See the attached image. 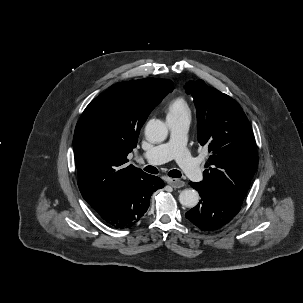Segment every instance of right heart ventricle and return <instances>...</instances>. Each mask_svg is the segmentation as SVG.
Segmentation results:
<instances>
[{
	"mask_svg": "<svg viewBox=\"0 0 303 303\" xmlns=\"http://www.w3.org/2000/svg\"><path fill=\"white\" fill-rule=\"evenodd\" d=\"M167 120L190 117L191 111L183 97L173 98L166 107Z\"/></svg>",
	"mask_w": 303,
	"mask_h": 303,
	"instance_id": "right-heart-ventricle-1",
	"label": "right heart ventricle"
}]
</instances>
